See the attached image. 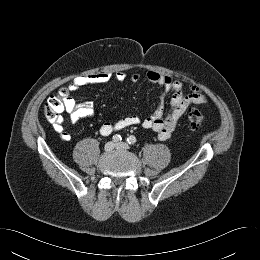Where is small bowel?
<instances>
[{
	"label": "small bowel",
	"instance_id": "small-bowel-1",
	"mask_svg": "<svg viewBox=\"0 0 260 260\" xmlns=\"http://www.w3.org/2000/svg\"><path fill=\"white\" fill-rule=\"evenodd\" d=\"M112 77L118 81H124L127 76L124 72L118 71L115 74L109 72H97L88 75L76 76L69 90L73 91L81 86L95 85L108 82ZM148 82L157 84L162 88V93L158 97L156 109L147 117L141 119L136 115L126 116L118 121L111 123L105 122L100 126L99 132L102 136H108L112 132L124 129L126 127L141 124L143 128L152 130L157 134L160 140H167L173 134L179 120L185 114L188 107L195 104L207 103V97L204 92L197 86H191L190 91H185V86L180 80L171 76L160 74L155 71H149L146 74ZM130 80L137 83L140 80L138 73L130 75ZM170 94L169 106L170 110L164 113L165 97ZM65 110L69 114L71 123H77L82 119L93 117L95 109L92 103H77L75 99L68 94L65 99ZM56 130L60 133L61 138L68 142L71 135L64 130L61 121L56 125Z\"/></svg>",
	"mask_w": 260,
	"mask_h": 260
}]
</instances>
